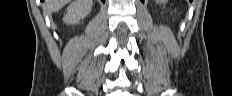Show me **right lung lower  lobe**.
<instances>
[{"label":"right lung lower lobe","instance_id":"right-lung-lower-lobe-1","mask_svg":"<svg viewBox=\"0 0 232 96\" xmlns=\"http://www.w3.org/2000/svg\"><path fill=\"white\" fill-rule=\"evenodd\" d=\"M41 1H43V0H41ZM103 3L105 2V0H101Z\"/></svg>","mask_w":232,"mask_h":96}]
</instances>
